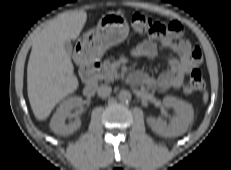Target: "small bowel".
<instances>
[{"mask_svg":"<svg viewBox=\"0 0 231 170\" xmlns=\"http://www.w3.org/2000/svg\"><path fill=\"white\" fill-rule=\"evenodd\" d=\"M167 32L161 38L151 37L136 45L132 54L137 58H153L156 56L158 46L171 49L176 58L168 60V68L161 72L157 77H152L143 71H137L133 74V79L149 87H158L160 89L181 87L183 80L192 70L197 67L202 59L201 50L193 47L191 43L182 37L183 27L180 22L172 21L166 25Z\"/></svg>","mask_w":231,"mask_h":170,"instance_id":"obj_1","label":"small bowel"}]
</instances>
